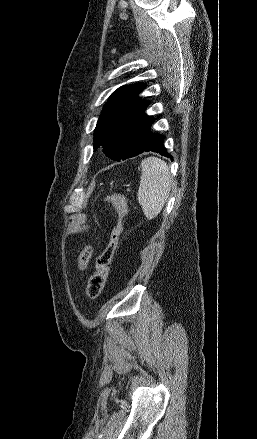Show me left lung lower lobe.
Listing matches in <instances>:
<instances>
[{
	"label": "left lung lower lobe",
	"instance_id": "0a47b994",
	"mask_svg": "<svg viewBox=\"0 0 257 439\" xmlns=\"http://www.w3.org/2000/svg\"><path fill=\"white\" fill-rule=\"evenodd\" d=\"M154 120V118H149L147 120L140 133L136 146L134 147L132 152L122 160L132 158L149 151L156 152L163 156L172 158V156L167 152L166 148L163 145L164 136L151 132V126L154 123Z\"/></svg>",
	"mask_w": 257,
	"mask_h": 439
}]
</instances>
